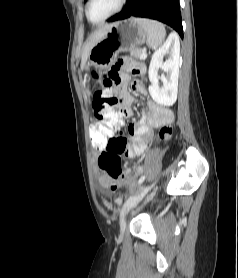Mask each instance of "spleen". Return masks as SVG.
I'll use <instances>...</instances> for the list:
<instances>
[{
	"label": "spleen",
	"mask_w": 238,
	"mask_h": 278,
	"mask_svg": "<svg viewBox=\"0 0 238 278\" xmlns=\"http://www.w3.org/2000/svg\"><path fill=\"white\" fill-rule=\"evenodd\" d=\"M147 33V44L152 49L158 48L164 41L166 31L162 23L149 19H137Z\"/></svg>",
	"instance_id": "spleen-1"
}]
</instances>
